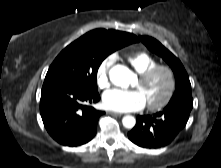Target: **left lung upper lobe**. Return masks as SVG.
I'll return each instance as SVG.
<instances>
[{
    "mask_svg": "<svg viewBox=\"0 0 221 168\" xmlns=\"http://www.w3.org/2000/svg\"><path fill=\"white\" fill-rule=\"evenodd\" d=\"M139 38L150 51L161 56L171 67L174 73L176 89L167 106L175 104L193 105L189 77L180 60L156 39L148 36H140Z\"/></svg>",
    "mask_w": 221,
    "mask_h": 168,
    "instance_id": "left-lung-upper-lobe-1",
    "label": "left lung upper lobe"
}]
</instances>
